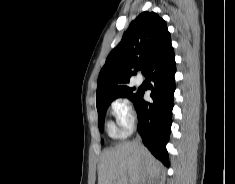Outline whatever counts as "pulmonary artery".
<instances>
[{
  "mask_svg": "<svg viewBox=\"0 0 235 184\" xmlns=\"http://www.w3.org/2000/svg\"><path fill=\"white\" fill-rule=\"evenodd\" d=\"M135 84L137 86H141L143 84V77L141 75H137L135 78Z\"/></svg>",
  "mask_w": 235,
  "mask_h": 184,
  "instance_id": "e3ab8cb5",
  "label": "pulmonary artery"
}]
</instances>
